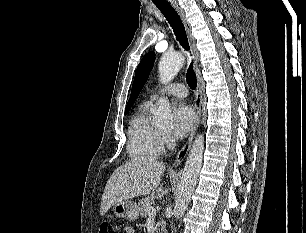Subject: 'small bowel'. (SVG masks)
Instances as JSON below:
<instances>
[{"mask_svg":"<svg viewBox=\"0 0 306 233\" xmlns=\"http://www.w3.org/2000/svg\"><path fill=\"white\" fill-rule=\"evenodd\" d=\"M127 230H132V229H126L124 232H126ZM134 232V231H133Z\"/></svg>","mask_w":306,"mask_h":233,"instance_id":"obj_1","label":"small bowel"}]
</instances>
